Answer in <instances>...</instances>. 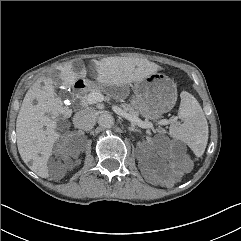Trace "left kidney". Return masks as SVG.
Here are the masks:
<instances>
[{
  "label": "left kidney",
  "mask_w": 241,
  "mask_h": 241,
  "mask_svg": "<svg viewBox=\"0 0 241 241\" xmlns=\"http://www.w3.org/2000/svg\"><path fill=\"white\" fill-rule=\"evenodd\" d=\"M153 152H155V146L152 144H149L148 145V149H147V155L148 156H152L153 155Z\"/></svg>",
  "instance_id": "5707ae66"
}]
</instances>
